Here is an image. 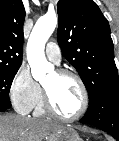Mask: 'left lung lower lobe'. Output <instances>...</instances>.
Segmentation results:
<instances>
[{
	"label": "left lung lower lobe",
	"instance_id": "1",
	"mask_svg": "<svg viewBox=\"0 0 119 141\" xmlns=\"http://www.w3.org/2000/svg\"><path fill=\"white\" fill-rule=\"evenodd\" d=\"M80 122L94 125L119 141V91L106 93L89 103Z\"/></svg>",
	"mask_w": 119,
	"mask_h": 141
}]
</instances>
